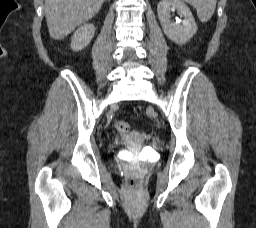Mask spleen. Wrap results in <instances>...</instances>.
I'll return each mask as SVG.
<instances>
[{
	"label": "spleen",
	"instance_id": "obj_1",
	"mask_svg": "<svg viewBox=\"0 0 256 228\" xmlns=\"http://www.w3.org/2000/svg\"><path fill=\"white\" fill-rule=\"evenodd\" d=\"M196 8L197 16L201 22L211 19L216 8L217 0H183Z\"/></svg>",
	"mask_w": 256,
	"mask_h": 228
}]
</instances>
